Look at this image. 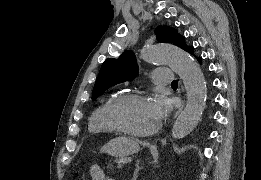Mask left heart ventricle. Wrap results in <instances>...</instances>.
<instances>
[{"label":"left heart ventricle","instance_id":"b2bd125f","mask_svg":"<svg viewBox=\"0 0 261 180\" xmlns=\"http://www.w3.org/2000/svg\"><path fill=\"white\" fill-rule=\"evenodd\" d=\"M111 116L123 134L143 136L157 124L159 111L148 98L130 100L122 106L115 107Z\"/></svg>","mask_w":261,"mask_h":180}]
</instances>
